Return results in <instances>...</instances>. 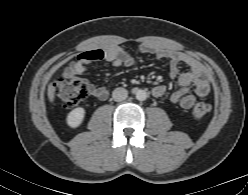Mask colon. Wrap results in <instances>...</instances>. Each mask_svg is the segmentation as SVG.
Instances as JSON below:
<instances>
[{"label":"colon","instance_id":"obj_1","mask_svg":"<svg viewBox=\"0 0 248 195\" xmlns=\"http://www.w3.org/2000/svg\"><path fill=\"white\" fill-rule=\"evenodd\" d=\"M52 92L66 107L76 106L87 95V88L80 79L59 77L51 84ZM210 104L204 99L195 101L192 114L195 118H203L210 112Z\"/></svg>","mask_w":248,"mask_h":195}]
</instances>
